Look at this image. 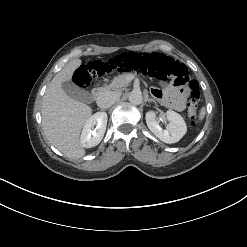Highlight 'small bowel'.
Here are the masks:
<instances>
[{
  "label": "small bowel",
  "mask_w": 247,
  "mask_h": 247,
  "mask_svg": "<svg viewBox=\"0 0 247 247\" xmlns=\"http://www.w3.org/2000/svg\"><path fill=\"white\" fill-rule=\"evenodd\" d=\"M153 94L161 101L165 106L183 110L185 103L180 89L176 85L166 87L164 90L153 89Z\"/></svg>",
  "instance_id": "c3829d8e"
}]
</instances>
